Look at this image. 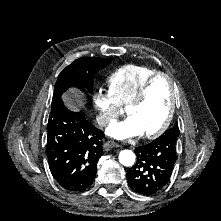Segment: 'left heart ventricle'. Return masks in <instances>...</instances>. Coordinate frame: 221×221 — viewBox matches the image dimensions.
Masks as SVG:
<instances>
[{"instance_id":"left-heart-ventricle-1","label":"left heart ventricle","mask_w":221,"mask_h":221,"mask_svg":"<svg viewBox=\"0 0 221 221\" xmlns=\"http://www.w3.org/2000/svg\"><path fill=\"white\" fill-rule=\"evenodd\" d=\"M170 99L168 81L160 78L153 82L143 103L137 107H127L126 112L142 134H145L162 124L169 109Z\"/></svg>"}]
</instances>
